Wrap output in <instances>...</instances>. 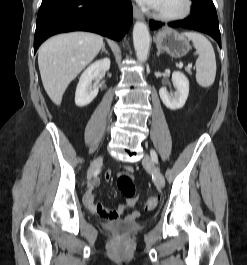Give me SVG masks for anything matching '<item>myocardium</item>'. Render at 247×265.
Here are the masks:
<instances>
[{"instance_id":"myocardium-1","label":"myocardium","mask_w":247,"mask_h":265,"mask_svg":"<svg viewBox=\"0 0 247 265\" xmlns=\"http://www.w3.org/2000/svg\"><path fill=\"white\" fill-rule=\"evenodd\" d=\"M193 10V0H183L182 8L176 13H164L156 8L153 10V16L159 21L165 23H174L186 19Z\"/></svg>"}]
</instances>
